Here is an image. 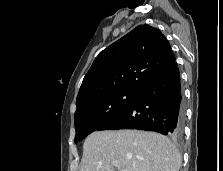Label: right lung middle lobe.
<instances>
[{"mask_svg":"<svg viewBox=\"0 0 223 171\" xmlns=\"http://www.w3.org/2000/svg\"><path fill=\"white\" fill-rule=\"evenodd\" d=\"M137 93L134 91L110 93L76 109L74 116L75 143L116 117L134 100Z\"/></svg>","mask_w":223,"mask_h":171,"instance_id":"1","label":"right lung middle lobe"}]
</instances>
